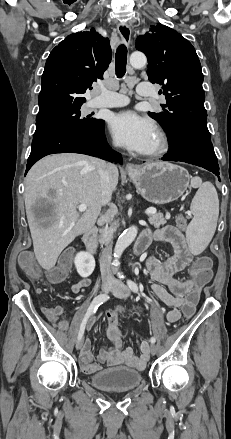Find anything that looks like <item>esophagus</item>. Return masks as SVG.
<instances>
[{
	"label": "esophagus",
	"instance_id": "esophagus-1",
	"mask_svg": "<svg viewBox=\"0 0 231 439\" xmlns=\"http://www.w3.org/2000/svg\"><path fill=\"white\" fill-rule=\"evenodd\" d=\"M118 33L120 37L122 38L125 45H129L131 42V29L130 26L126 23H119L117 26ZM127 172H133L136 170L135 166L131 163H128L125 167Z\"/></svg>",
	"mask_w": 231,
	"mask_h": 439
}]
</instances>
